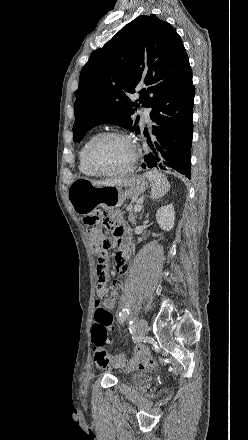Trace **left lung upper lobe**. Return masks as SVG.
Returning <instances> with one entry per match:
<instances>
[{
    "instance_id": "1",
    "label": "left lung upper lobe",
    "mask_w": 248,
    "mask_h": 440,
    "mask_svg": "<svg viewBox=\"0 0 248 440\" xmlns=\"http://www.w3.org/2000/svg\"><path fill=\"white\" fill-rule=\"evenodd\" d=\"M192 80V70L180 36L166 21L142 15L125 25L81 70L75 93L73 138L80 142L93 127L115 123L140 133L131 116L151 107L172 90ZM141 88L138 103L130 95Z\"/></svg>"
}]
</instances>
